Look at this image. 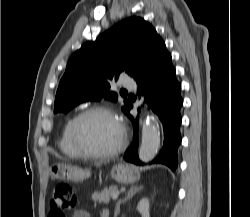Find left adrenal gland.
<instances>
[{
	"label": "left adrenal gland",
	"mask_w": 250,
	"mask_h": 217,
	"mask_svg": "<svg viewBox=\"0 0 250 217\" xmlns=\"http://www.w3.org/2000/svg\"><path fill=\"white\" fill-rule=\"evenodd\" d=\"M143 189V186H132L125 198H123L122 200H119L117 203H116V208H115V214H114V217H117V215L120 213V205L124 202H126L127 200L131 199L137 192H139L140 190Z\"/></svg>",
	"instance_id": "a2214340"
}]
</instances>
